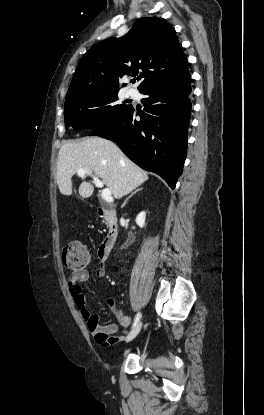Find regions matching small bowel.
I'll use <instances>...</instances> for the list:
<instances>
[{
  "instance_id": "small-bowel-1",
  "label": "small bowel",
  "mask_w": 264,
  "mask_h": 415,
  "mask_svg": "<svg viewBox=\"0 0 264 415\" xmlns=\"http://www.w3.org/2000/svg\"><path fill=\"white\" fill-rule=\"evenodd\" d=\"M98 278H102L106 274L105 264L100 262L96 272ZM89 273L86 267L78 268L74 271L73 276L68 281L69 292L80 310L84 320L87 322L88 329L93 335L95 341L103 347H111L125 340V337L117 336V325L115 324H99V314H91L85 307V300L81 283L87 281ZM121 324L128 326L131 322L130 316H121ZM127 338V337H126Z\"/></svg>"
}]
</instances>
